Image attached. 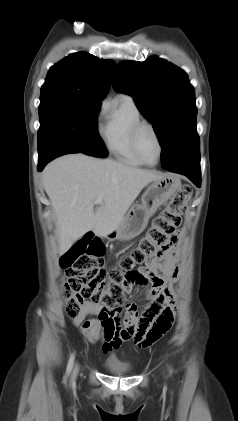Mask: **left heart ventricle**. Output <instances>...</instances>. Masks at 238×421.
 <instances>
[{"mask_svg":"<svg viewBox=\"0 0 238 421\" xmlns=\"http://www.w3.org/2000/svg\"><path fill=\"white\" fill-rule=\"evenodd\" d=\"M139 146L142 155L149 163H154L158 156V145L150 129L144 128L140 134Z\"/></svg>","mask_w":238,"mask_h":421,"instance_id":"b2bd125f","label":"left heart ventricle"}]
</instances>
